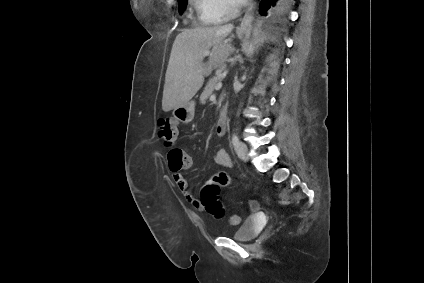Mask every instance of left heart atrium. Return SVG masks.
Listing matches in <instances>:
<instances>
[{"mask_svg":"<svg viewBox=\"0 0 424 283\" xmlns=\"http://www.w3.org/2000/svg\"><path fill=\"white\" fill-rule=\"evenodd\" d=\"M239 4L245 3L247 0H237Z\"/></svg>","mask_w":424,"mask_h":283,"instance_id":"1","label":"left heart atrium"}]
</instances>
